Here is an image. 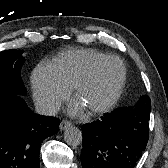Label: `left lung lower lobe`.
I'll return each mask as SVG.
<instances>
[{"label": "left lung lower lobe", "instance_id": "obj_1", "mask_svg": "<svg viewBox=\"0 0 168 168\" xmlns=\"http://www.w3.org/2000/svg\"><path fill=\"white\" fill-rule=\"evenodd\" d=\"M141 97L134 107L117 108L82 126L83 168H134L149 139L151 103Z\"/></svg>", "mask_w": 168, "mask_h": 168}]
</instances>
